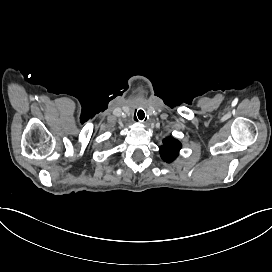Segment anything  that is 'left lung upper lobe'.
Here are the masks:
<instances>
[{"mask_svg":"<svg viewBox=\"0 0 272 272\" xmlns=\"http://www.w3.org/2000/svg\"><path fill=\"white\" fill-rule=\"evenodd\" d=\"M181 143L173 137H167L159 147L161 158L167 162H173L179 154Z\"/></svg>","mask_w":272,"mask_h":272,"instance_id":"5c2ea615","label":"left lung upper lobe"}]
</instances>
